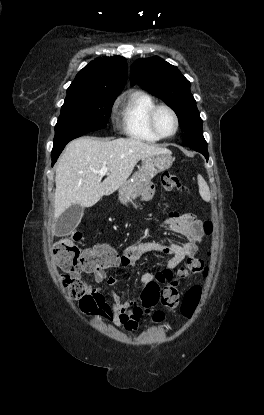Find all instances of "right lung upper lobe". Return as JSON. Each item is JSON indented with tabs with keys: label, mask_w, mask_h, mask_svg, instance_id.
<instances>
[{
	"label": "right lung upper lobe",
	"mask_w": 264,
	"mask_h": 415,
	"mask_svg": "<svg viewBox=\"0 0 264 415\" xmlns=\"http://www.w3.org/2000/svg\"><path fill=\"white\" fill-rule=\"evenodd\" d=\"M127 80L124 57L96 58L78 72L67 96L119 95Z\"/></svg>",
	"instance_id": "obj_1"
}]
</instances>
